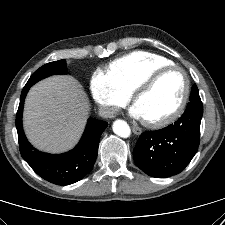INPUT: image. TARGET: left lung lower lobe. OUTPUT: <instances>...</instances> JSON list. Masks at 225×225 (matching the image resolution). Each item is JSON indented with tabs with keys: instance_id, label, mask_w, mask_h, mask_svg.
Masks as SVG:
<instances>
[{
	"instance_id": "1",
	"label": "left lung lower lobe",
	"mask_w": 225,
	"mask_h": 225,
	"mask_svg": "<svg viewBox=\"0 0 225 225\" xmlns=\"http://www.w3.org/2000/svg\"><path fill=\"white\" fill-rule=\"evenodd\" d=\"M202 115L201 99L191 100L174 124L141 134L133 150L136 165L157 178L183 171L198 150Z\"/></svg>"
}]
</instances>
